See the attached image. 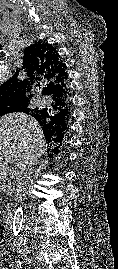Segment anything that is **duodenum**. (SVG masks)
<instances>
[{
  "label": "duodenum",
  "instance_id": "duodenum-1",
  "mask_svg": "<svg viewBox=\"0 0 118 269\" xmlns=\"http://www.w3.org/2000/svg\"><path fill=\"white\" fill-rule=\"evenodd\" d=\"M13 221V212L11 210L6 211L2 216V222L5 226L9 227Z\"/></svg>",
  "mask_w": 118,
  "mask_h": 269
}]
</instances>
